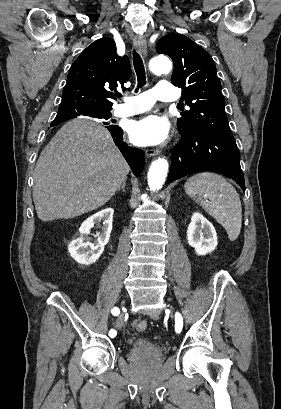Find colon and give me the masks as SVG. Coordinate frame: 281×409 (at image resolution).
<instances>
[{
	"mask_svg": "<svg viewBox=\"0 0 281 409\" xmlns=\"http://www.w3.org/2000/svg\"><path fill=\"white\" fill-rule=\"evenodd\" d=\"M134 328H135L136 332L144 333L149 329V324H148V322H146L144 320H137L134 323Z\"/></svg>",
	"mask_w": 281,
	"mask_h": 409,
	"instance_id": "colon-1",
	"label": "colon"
}]
</instances>
